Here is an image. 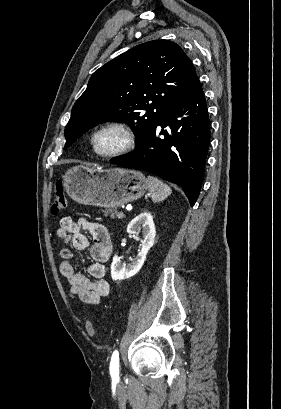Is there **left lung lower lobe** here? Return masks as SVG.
<instances>
[{"mask_svg":"<svg viewBox=\"0 0 281 409\" xmlns=\"http://www.w3.org/2000/svg\"><path fill=\"white\" fill-rule=\"evenodd\" d=\"M209 142L208 109L196 76L191 87L137 144V149L111 163L145 170L182 186L193 206L201 190Z\"/></svg>","mask_w":281,"mask_h":409,"instance_id":"0a47b994","label":"left lung lower lobe"}]
</instances>
